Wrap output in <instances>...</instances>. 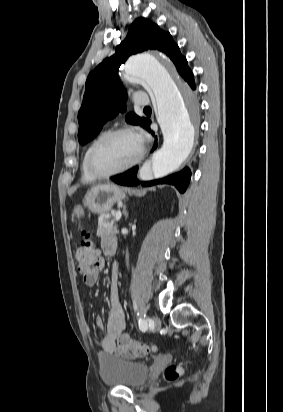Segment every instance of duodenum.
<instances>
[{"instance_id": "1", "label": "duodenum", "mask_w": 283, "mask_h": 412, "mask_svg": "<svg viewBox=\"0 0 283 412\" xmlns=\"http://www.w3.org/2000/svg\"><path fill=\"white\" fill-rule=\"evenodd\" d=\"M117 249H118V244H113V245L110 247V252H111V253H115V252L117 251Z\"/></svg>"}]
</instances>
